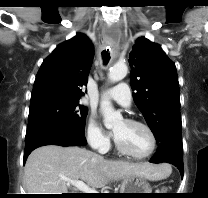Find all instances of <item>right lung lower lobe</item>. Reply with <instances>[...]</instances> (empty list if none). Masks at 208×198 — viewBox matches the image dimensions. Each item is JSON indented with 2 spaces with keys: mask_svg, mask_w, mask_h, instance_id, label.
Segmentation results:
<instances>
[{
  "mask_svg": "<svg viewBox=\"0 0 208 198\" xmlns=\"http://www.w3.org/2000/svg\"><path fill=\"white\" fill-rule=\"evenodd\" d=\"M44 145L85 146L84 135L63 125H46L27 131L25 137V164L28 155L36 148Z\"/></svg>",
  "mask_w": 208,
  "mask_h": 198,
  "instance_id": "obj_1",
  "label": "right lung lower lobe"
}]
</instances>
